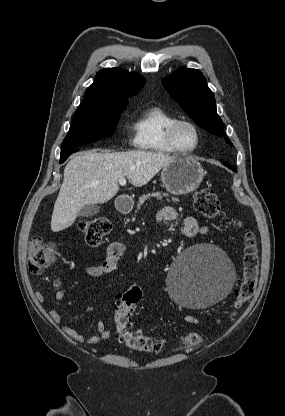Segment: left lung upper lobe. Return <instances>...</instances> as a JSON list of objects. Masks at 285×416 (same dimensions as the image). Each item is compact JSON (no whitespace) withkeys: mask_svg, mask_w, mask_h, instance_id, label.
I'll return each instance as SVG.
<instances>
[{"mask_svg":"<svg viewBox=\"0 0 285 416\" xmlns=\"http://www.w3.org/2000/svg\"><path fill=\"white\" fill-rule=\"evenodd\" d=\"M162 84L196 123L210 133L223 136L228 144L233 145L224 133L214 94L199 70L181 68L163 78Z\"/></svg>","mask_w":285,"mask_h":416,"instance_id":"obj_1","label":"left lung upper lobe"}]
</instances>
